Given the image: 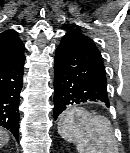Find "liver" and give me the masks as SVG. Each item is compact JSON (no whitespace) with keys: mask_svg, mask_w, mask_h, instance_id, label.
<instances>
[{"mask_svg":"<svg viewBox=\"0 0 130 153\" xmlns=\"http://www.w3.org/2000/svg\"><path fill=\"white\" fill-rule=\"evenodd\" d=\"M9 141L7 131L0 128V147L4 146Z\"/></svg>","mask_w":130,"mask_h":153,"instance_id":"liver-1","label":"liver"}]
</instances>
